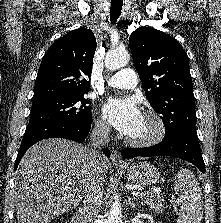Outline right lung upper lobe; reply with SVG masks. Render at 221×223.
Wrapping results in <instances>:
<instances>
[{
	"instance_id": "1",
	"label": "right lung upper lobe",
	"mask_w": 221,
	"mask_h": 223,
	"mask_svg": "<svg viewBox=\"0 0 221 223\" xmlns=\"http://www.w3.org/2000/svg\"><path fill=\"white\" fill-rule=\"evenodd\" d=\"M96 46L93 32L84 27L72 30L56 40L42 59L33 101L87 93Z\"/></svg>"
}]
</instances>
